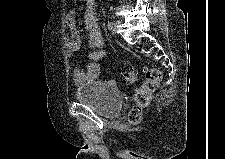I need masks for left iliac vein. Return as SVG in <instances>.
<instances>
[{"label": "left iliac vein", "instance_id": "1", "mask_svg": "<svg viewBox=\"0 0 225 159\" xmlns=\"http://www.w3.org/2000/svg\"><path fill=\"white\" fill-rule=\"evenodd\" d=\"M118 24H119L118 21L112 22V26H111L109 29H110L112 32H115L116 29H117Z\"/></svg>", "mask_w": 225, "mask_h": 159}]
</instances>
